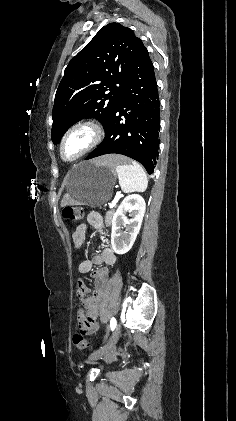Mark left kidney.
I'll return each mask as SVG.
<instances>
[{"mask_svg": "<svg viewBox=\"0 0 236 421\" xmlns=\"http://www.w3.org/2000/svg\"><path fill=\"white\" fill-rule=\"evenodd\" d=\"M145 200L140 194H128L118 206L112 217L111 245L117 255H125L132 249L135 239L141 229L144 213ZM126 213H130L127 219ZM125 229L127 233H122Z\"/></svg>", "mask_w": 236, "mask_h": 421, "instance_id": "obj_1", "label": "left kidney"}]
</instances>
